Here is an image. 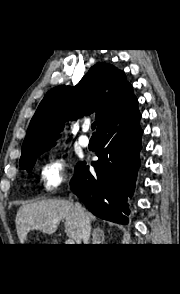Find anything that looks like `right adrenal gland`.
<instances>
[{
  "instance_id": "obj_1",
  "label": "right adrenal gland",
  "mask_w": 180,
  "mask_h": 294,
  "mask_svg": "<svg viewBox=\"0 0 180 294\" xmlns=\"http://www.w3.org/2000/svg\"><path fill=\"white\" fill-rule=\"evenodd\" d=\"M105 240V232L100 227L93 231L92 244H102Z\"/></svg>"
}]
</instances>
